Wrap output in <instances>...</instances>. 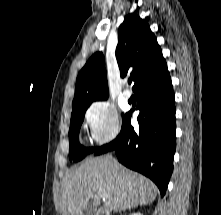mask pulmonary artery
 Returning <instances> with one entry per match:
<instances>
[{
  "mask_svg": "<svg viewBox=\"0 0 221 215\" xmlns=\"http://www.w3.org/2000/svg\"><path fill=\"white\" fill-rule=\"evenodd\" d=\"M123 97L125 98V99H130L131 98V91L130 90H128V89H126V90H124L123 91Z\"/></svg>",
  "mask_w": 221,
  "mask_h": 215,
  "instance_id": "pulmonary-artery-1",
  "label": "pulmonary artery"
}]
</instances>
